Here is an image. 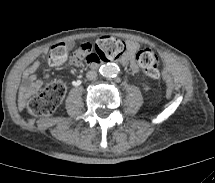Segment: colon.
<instances>
[{
    "mask_svg": "<svg viewBox=\"0 0 215 183\" xmlns=\"http://www.w3.org/2000/svg\"><path fill=\"white\" fill-rule=\"evenodd\" d=\"M125 51L122 41L113 37H101L94 43L81 45L74 53L90 63L109 62L119 58ZM68 56V46L65 43L53 45L49 52V63L52 66L62 65ZM138 64L145 75L151 80H157L160 76L158 59L155 53L149 49L141 50L136 55ZM66 93V85L63 81H53L47 84L42 91L27 102V109L34 116H49L57 109Z\"/></svg>",
    "mask_w": 215,
    "mask_h": 183,
    "instance_id": "5ec220e1",
    "label": "colon"
}]
</instances>
